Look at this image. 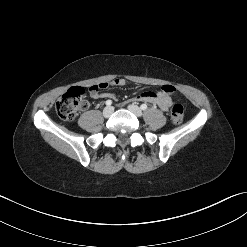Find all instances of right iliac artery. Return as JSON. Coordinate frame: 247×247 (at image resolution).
<instances>
[{"label":"right iliac artery","mask_w":247,"mask_h":247,"mask_svg":"<svg viewBox=\"0 0 247 247\" xmlns=\"http://www.w3.org/2000/svg\"><path fill=\"white\" fill-rule=\"evenodd\" d=\"M105 103H106L107 106H110L112 104V101L111 100H107Z\"/></svg>","instance_id":"obj_1"}]
</instances>
